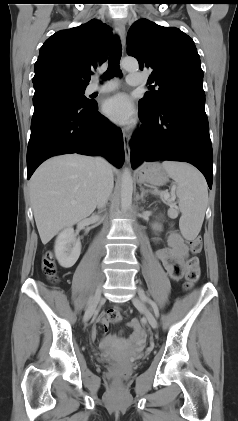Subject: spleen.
Instances as JSON below:
<instances>
[{"label":"spleen","mask_w":238,"mask_h":421,"mask_svg":"<svg viewBox=\"0 0 238 421\" xmlns=\"http://www.w3.org/2000/svg\"><path fill=\"white\" fill-rule=\"evenodd\" d=\"M162 168L174 179L173 189L182 213L179 226L186 239L195 238L202 227L208 202L205 178L193 166L184 162L164 161Z\"/></svg>","instance_id":"spleen-1"}]
</instances>
